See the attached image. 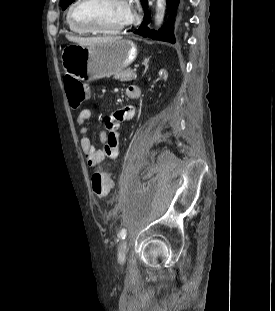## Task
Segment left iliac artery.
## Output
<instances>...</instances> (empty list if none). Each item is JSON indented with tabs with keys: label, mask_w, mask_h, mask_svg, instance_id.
Masks as SVG:
<instances>
[{
	"label": "left iliac artery",
	"mask_w": 275,
	"mask_h": 311,
	"mask_svg": "<svg viewBox=\"0 0 275 311\" xmlns=\"http://www.w3.org/2000/svg\"><path fill=\"white\" fill-rule=\"evenodd\" d=\"M126 234H127V231H126V229L123 228V229L120 231V233H119V237H120L121 239H125Z\"/></svg>",
	"instance_id": "1"
}]
</instances>
